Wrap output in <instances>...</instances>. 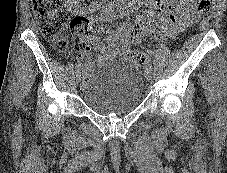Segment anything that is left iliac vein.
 Here are the masks:
<instances>
[{
    "label": "left iliac vein",
    "mask_w": 227,
    "mask_h": 173,
    "mask_svg": "<svg viewBox=\"0 0 227 173\" xmlns=\"http://www.w3.org/2000/svg\"><path fill=\"white\" fill-rule=\"evenodd\" d=\"M144 76L147 80H150L152 77V70L149 68L144 69Z\"/></svg>",
    "instance_id": "obj_1"
}]
</instances>
